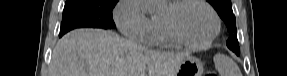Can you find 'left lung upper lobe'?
<instances>
[{
	"label": "left lung upper lobe",
	"instance_id": "left-lung-upper-lobe-1",
	"mask_svg": "<svg viewBox=\"0 0 287 76\" xmlns=\"http://www.w3.org/2000/svg\"><path fill=\"white\" fill-rule=\"evenodd\" d=\"M217 11L219 16L224 20L231 37L226 44L229 49L235 53H239V44L237 40V30L235 16L232 11L231 0H207Z\"/></svg>",
	"mask_w": 287,
	"mask_h": 76
}]
</instances>
